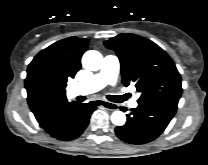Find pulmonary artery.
Here are the masks:
<instances>
[{
	"label": "pulmonary artery",
	"mask_w": 208,
	"mask_h": 165,
	"mask_svg": "<svg viewBox=\"0 0 208 165\" xmlns=\"http://www.w3.org/2000/svg\"><path fill=\"white\" fill-rule=\"evenodd\" d=\"M119 71V59L115 55H107L102 63L101 70L92 75L89 79L76 83L71 87V94L87 95L99 91L107 84L113 83L118 75ZM129 105L132 108L137 107V101L131 100Z\"/></svg>",
	"instance_id": "obj_1"
}]
</instances>
